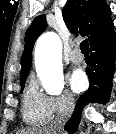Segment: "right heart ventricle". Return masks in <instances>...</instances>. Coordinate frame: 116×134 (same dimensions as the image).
<instances>
[{
	"mask_svg": "<svg viewBox=\"0 0 116 134\" xmlns=\"http://www.w3.org/2000/svg\"><path fill=\"white\" fill-rule=\"evenodd\" d=\"M48 98L37 86L32 78L24 92L22 100V118L28 125H44L52 117Z\"/></svg>",
	"mask_w": 116,
	"mask_h": 134,
	"instance_id": "e07e8e85",
	"label": "right heart ventricle"
}]
</instances>
